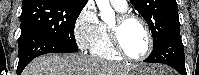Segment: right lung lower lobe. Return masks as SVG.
Here are the masks:
<instances>
[{"label": "right lung lower lobe", "instance_id": "obj_1", "mask_svg": "<svg viewBox=\"0 0 199 75\" xmlns=\"http://www.w3.org/2000/svg\"><path fill=\"white\" fill-rule=\"evenodd\" d=\"M19 62L17 75H20L26 65L34 58L47 53H71L77 52L78 47H73L48 37L35 35L18 42Z\"/></svg>", "mask_w": 199, "mask_h": 75}]
</instances>
